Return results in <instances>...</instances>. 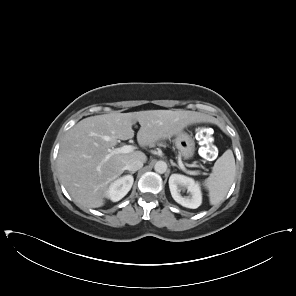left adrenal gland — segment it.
<instances>
[{
    "mask_svg": "<svg viewBox=\"0 0 296 296\" xmlns=\"http://www.w3.org/2000/svg\"><path fill=\"white\" fill-rule=\"evenodd\" d=\"M171 165L177 167L178 169H182L179 165H177V164L174 163L173 161H171Z\"/></svg>",
    "mask_w": 296,
    "mask_h": 296,
    "instance_id": "1",
    "label": "left adrenal gland"
}]
</instances>
